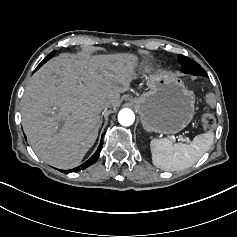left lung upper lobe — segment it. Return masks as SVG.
<instances>
[{"instance_id":"1","label":"left lung upper lobe","mask_w":237,"mask_h":237,"mask_svg":"<svg viewBox=\"0 0 237 237\" xmlns=\"http://www.w3.org/2000/svg\"><path fill=\"white\" fill-rule=\"evenodd\" d=\"M178 61L182 65L181 71L186 74H192L195 76L207 77L208 75L205 70L194 60L185 57L183 55H178Z\"/></svg>"}]
</instances>
